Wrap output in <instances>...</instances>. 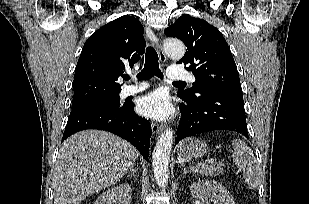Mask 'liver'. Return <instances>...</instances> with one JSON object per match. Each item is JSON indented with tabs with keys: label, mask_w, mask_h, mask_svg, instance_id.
Wrapping results in <instances>:
<instances>
[{
	"label": "liver",
	"mask_w": 309,
	"mask_h": 204,
	"mask_svg": "<svg viewBox=\"0 0 309 204\" xmlns=\"http://www.w3.org/2000/svg\"><path fill=\"white\" fill-rule=\"evenodd\" d=\"M138 151L105 131L86 130L66 139L53 173L54 204H79L115 185L133 167Z\"/></svg>",
	"instance_id": "obj_1"
}]
</instances>
